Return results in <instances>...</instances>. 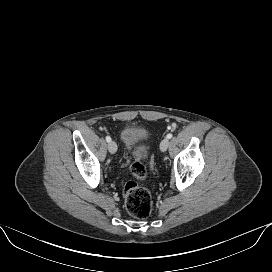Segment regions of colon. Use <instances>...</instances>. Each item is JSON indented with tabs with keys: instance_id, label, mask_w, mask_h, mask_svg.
<instances>
[{
	"instance_id": "1",
	"label": "colon",
	"mask_w": 272,
	"mask_h": 272,
	"mask_svg": "<svg viewBox=\"0 0 272 272\" xmlns=\"http://www.w3.org/2000/svg\"><path fill=\"white\" fill-rule=\"evenodd\" d=\"M138 159L130 167L134 180L126 183L123 190L126 210L135 218H147L152 211V198L147 189L140 186L136 180L143 179L146 176V168L141 158L147 156V150L141 147L137 152Z\"/></svg>"
}]
</instances>
